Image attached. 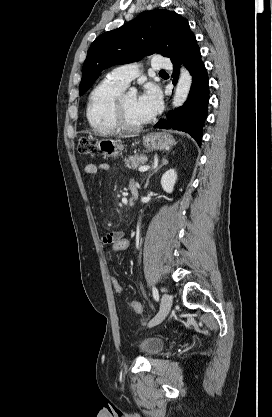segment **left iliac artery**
<instances>
[{"instance_id":"obj_1","label":"left iliac artery","mask_w":272,"mask_h":417,"mask_svg":"<svg viewBox=\"0 0 272 417\" xmlns=\"http://www.w3.org/2000/svg\"><path fill=\"white\" fill-rule=\"evenodd\" d=\"M153 297L156 301H159V293L156 287H152Z\"/></svg>"}]
</instances>
